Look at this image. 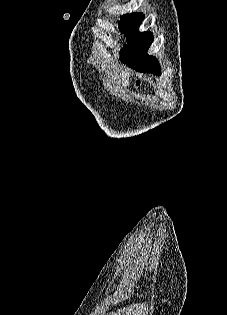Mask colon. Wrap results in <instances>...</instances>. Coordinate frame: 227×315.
I'll use <instances>...</instances> for the list:
<instances>
[{
    "label": "colon",
    "mask_w": 227,
    "mask_h": 315,
    "mask_svg": "<svg viewBox=\"0 0 227 315\" xmlns=\"http://www.w3.org/2000/svg\"><path fill=\"white\" fill-rule=\"evenodd\" d=\"M136 84L139 85V84H140V80H137V81H136Z\"/></svg>",
    "instance_id": "5ec220e1"
}]
</instances>
